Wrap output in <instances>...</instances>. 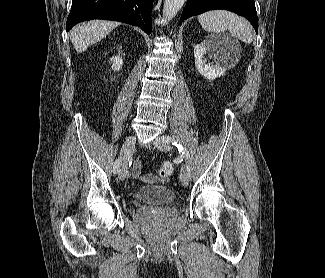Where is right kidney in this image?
Segmentation results:
<instances>
[{"mask_svg":"<svg viewBox=\"0 0 325 278\" xmlns=\"http://www.w3.org/2000/svg\"><path fill=\"white\" fill-rule=\"evenodd\" d=\"M111 61L113 62L112 64V69L115 71H119L122 68L123 61L120 58V56H115L111 58Z\"/></svg>","mask_w":325,"mask_h":278,"instance_id":"1","label":"right kidney"}]
</instances>
